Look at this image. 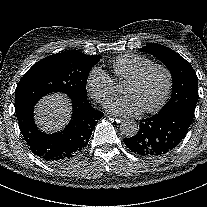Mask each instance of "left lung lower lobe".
I'll list each match as a JSON object with an SVG mask.
<instances>
[{"mask_svg": "<svg viewBox=\"0 0 207 207\" xmlns=\"http://www.w3.org/2000/svg\"><path fill=\"white\" fill-rule=\"evenodd\" d=\"M192 118L181 110L160 112L142 120L138 133L123 141L130 150L141 156L161 157L185 138Z\"/></svg>", "mask_w": 207, "mask_h": 207, "instance_id": "0a47b994", "label": "left lung lower lobe"}]
</instances>
